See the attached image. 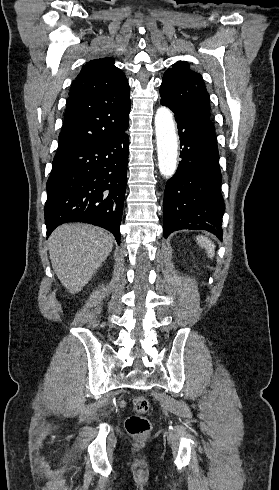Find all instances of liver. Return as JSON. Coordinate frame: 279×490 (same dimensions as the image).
Returning a JSON list of instances; mask_svg holds the SVG:
<instances>
[{
  "mask_svg": "<svg viewBox=\"0 0 279 490\" xmlns=\"http://www.w3.org/2000/svg\"><path fill=\"white\" fill-rule=\"evenodd\" d=\"M49 258L62 286L78 294L112 252L110 232L89 224H63L49 240Z\"/></svg>",
  "mask_w": 279,
  "mask_h": 490,
  "instance_id": "6515ba94",
  "label": "liver"
}]
</instances>
